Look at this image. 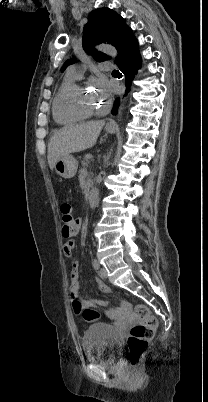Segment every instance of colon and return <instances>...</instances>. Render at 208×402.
<instances>
[{
	"mask_svg": "<svg viewBox=\"0 0 208 402\" xmlns=\"http://www.w3.org/2000/svg\"><path fill=\"white\" fill-rule=\"evenodd\" d=\"M67 200L61 205L62 223L61 230L64 238L68 235H74L76 223L79 222L72 214L71 198L72 192H66ZM73 312L80 314L87 321H94L99 318L98 312L83 304L79 296L72 299ZM136 314L142 318L141 324L128 325V344H129V362L136 364L145 354L149 340L155 334L156 327H159V318H149V310L146 307H136Z\"/></svg>",
	"mask_w": 208,
	"mask_h": 402,
	"instance_id": "colon-1",
	"label": "colon"
}]
</instances>
